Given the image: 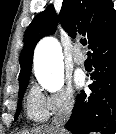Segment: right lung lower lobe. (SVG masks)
Returning <instances> with one entry per match:
<instances>
[{"instance_id":"right-lung-lower-lobe-1","label":"right lung lower lobe","mask_w":116,"mask_h":134,"mask_svg":"<svg viewBox=\"0 0 116 134\" xmlns=\"http://www.w3.org/2000/svg\"><path fill=\"white\" fill-rule=\"evenodd\" d=\"M94 80L89 85L91 92L83 90L76 97L73 112L66 124L72 133L86 134L101 131L114 134L116 131V32L92 49Z\"/></svg>"}]
</instances>
